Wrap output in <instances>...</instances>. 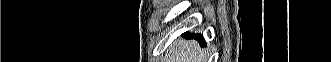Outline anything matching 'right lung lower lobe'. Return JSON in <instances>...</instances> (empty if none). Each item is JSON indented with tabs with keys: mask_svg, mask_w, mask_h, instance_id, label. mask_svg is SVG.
<instances>
[{
	"mask_svg": "<svg viewBox=\"0 0 331 62\" xmlns=\"http://www.w3.org/2000/svg\"><path fill=\"white\" fill-rule=\"evenodd\" d=\"M187 36H188V34H187ZM189 36L195 37L196 39H201L203 41V44H205V40L202 38L201 34H195V35L189 34Z\"/></svg>",
	"mask_w": 331,
	"mask_h": 62,
	"instance_id": "1",
	"label": "right lung lower lobe"
}]
</instances>
